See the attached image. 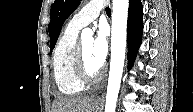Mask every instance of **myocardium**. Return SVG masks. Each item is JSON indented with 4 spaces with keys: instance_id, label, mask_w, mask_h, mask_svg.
<instances>
[{
    "instance_id": "f54148a6",
    "label": "myocardium",
    "mask_w": 193,
    "mask_h": 112,
    "mask_svg": "<svg viewBox=\"0 0 193 112\" xmlns=\"http://www.w3.org/2000/svg\"><path fill=\"white\" fill-rule=\"evenodd\" d=\"M74 70L78 80L84 85H90L100 81L105 74V67L101 69L94 75L90 74L86 68L84 61V54L81 42H77L75 55H74Z\"/></svg>"
}]
</instances>
